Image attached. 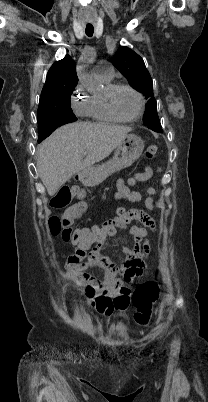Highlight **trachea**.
<instances>
[{"mask_svg":"<svg viewBox=\"0 0 208 402\" xmlns=\"http://www.w3.org/2000/svg\"><path fill=\"white\" fill-rule=\"evenodd\" d=\"M93 32H94V27H92V26H87V27H86L85 33H86V35H87L88 37H92Z\"/></svg>","mask_w":208,"mask_h":402,"instance_id":"trachea-1","label":"trachea"}]
</instances>
